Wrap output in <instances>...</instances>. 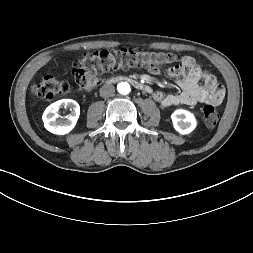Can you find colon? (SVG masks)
<instances>
[{
	"mask_svg": "<svg viewBox=\"0 0 253 253\" xmlns=\"http://www.w3.org/2000/svg\"><path fill=\"white\" fill-rule=\"evenodd\" d=\"M178 56L171 52L133 50L127 48L90 52L80 57L72 67L76 83L82 87H96L104 83V73L112 69H125L135 66L162 64L163 66L178 61ZM70 86L66 81L47 75L43 76L34 87V94L40 99H52L65 94ZM203 117L208 126H215L219 121V112L209 103L203 107Z\"/></svg>",
	"mask_w": 253,
	"mask_h": 253,
	"instance_id": "1",
	"label": "colon"
}]
</instances>
